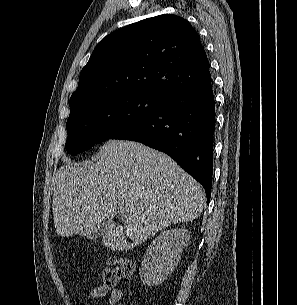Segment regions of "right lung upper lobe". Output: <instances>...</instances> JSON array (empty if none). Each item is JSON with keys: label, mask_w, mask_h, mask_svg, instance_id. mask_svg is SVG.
<instances>
[{"label": "right lung upper lobe", "mask_w": 297, "mask_h": 305, "mask_svg": "<svg viewBox=\"0 0 297 305\" xmlns=\"http://www.w3.org/2000/svg\"><path fill=\"white\" fill-rule=\"evenodd\" d=\"M210 79L197 32L184 18L163 14L128 25L98 43L70 98V112L121 93L166 97Z\"/></svg>", "instance_id": "right-lung-upper-lobe-1"}]
</instances>
